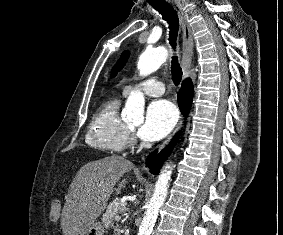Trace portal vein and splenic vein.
Instances as JSON below:
<instances>
[{"instance_id": "portal-vein-and-splenic-vein-1", "label": "portal vein and splenic vein", "mask_w": 283, "mask_h": 235, "mask_svg": "<svg viewBox=\"0 0 283 235\" xmlns=\"http://www.w3.org/2000/svg\"><path fill=\"white\" fill-rule=\"evenodd\" d=\"M115 220H116V221H120V220H121V217H120L119 215H117V216L115 217Z\"/></svg>"}]
</instances>
